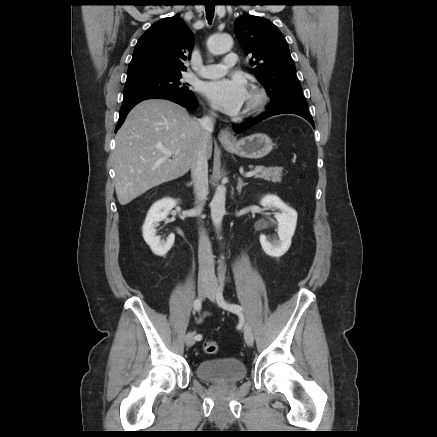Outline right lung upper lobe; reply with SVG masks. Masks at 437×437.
I'll list each match as a JSON object with an SVG mask.
<instances>
[{
    "label": "right lung upper lobe",
    "mask_w": 437,
    "mask_h": 437,
    "mask_svg": "<svg viewBox=\"0 0 437 437\" xmlns=\"http://www.w3.org/2000/svg\"><path fill=\"white\" fill-rule=\"evenodd\" d=\"M193 43V34L182 19H161L139 38L127 74L181 73L186 70L183 61L191 53Z\"/></svg>",
    "instance_id": "right-lung-upper-lobe-1"
}]
</instances>
